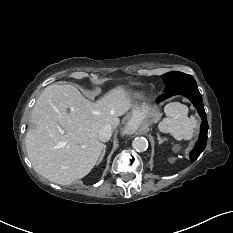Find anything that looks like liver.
Returning a JSON list of instances; mask_svg holds the SVG:
<instances>
[{
	"mask_svg": "<svg viewBox=\"0 0 233 233\" xmlns=\"http://www.w3.org/2000/svg\"><path fill=\"white\" fill-rule=\"evenodd\" d=\"M131 107L128 92L122 87L91 102L73 85L47 86L34 105V127L25 138L34 170L60 185L85 177L104 148L99 131L105 125L115 129L118 117Z\"/></svg>",
	"mask_w": 233,
	"mask_h": 233,
	"instance_id": "obj_1",
	"label": "liver"
}]
</instances>
